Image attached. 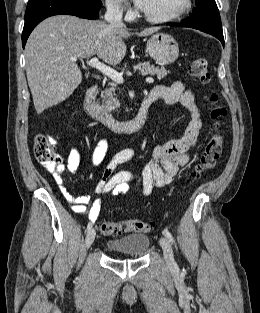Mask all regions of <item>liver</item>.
Wrapping results in <instances>:
<instances>
[{"instance_id": "liver-1", "label": "liver", "mask_w": 260, "mask_h": 313, "mask_svg": "<svg viewBox=\"0 0 260 313\" xmlns=\"http://www.w3.org/2000/svg\"><path fill=\"white\" fill-rule=\"evenodd\" d=\"M159 30L146 28L138 36ZM131 33L123 26L100 20L57 15L42 21L31 33L25 47L26 75L38 114L66 100L82 82V73L72 58L97 55L117 65L126 55L123 38Z\"/></svg>"}]
</instances>
